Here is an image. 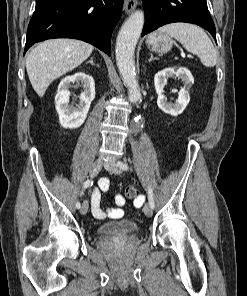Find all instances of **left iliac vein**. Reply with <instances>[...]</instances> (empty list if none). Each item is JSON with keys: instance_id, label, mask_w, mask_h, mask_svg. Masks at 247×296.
Returning a JSON list of instances; mask_svg holds the SVG:
<instances>
[{"instance_id": "obj_1", "label": "left iliac vein", "mask_w": 247, "mask_h": 296, "mask_svg": "<svg viewBox=\"0 0 247 296\" xmlns=\"http://www.w3.org/2000/svg\"><path fill=\"white\" fill-rule=\"evenodd\" d=\"M104 167L107 171L111 172V173H114V174H121V170L120 168L117 166V164L113 161H109V162H106L104 164ZM143 211H144V214L147 216V217H151L152 214H153V210L150 206V204H146L143 208Z\"/></svg>"}]
</instances>
